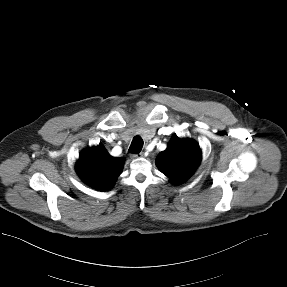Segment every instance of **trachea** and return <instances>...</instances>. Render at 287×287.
<instances>
[{
	"label": "trachea",
	"instance_id": "trachea-1",
	"mask_svg": "<svg viewBox=\"0 0 287 287\" xmlns=\"http://www.w3.org/2000/svg\"><path fill=\"white\" fill-rule=\"evenodd\" d=\"M142 147H143L142 138L140 136H135L132 140V143H131L128 151L130 153L137 154V153H140V151L142 150Z\"/></svg>",
	"mask_w": 287,
	"mask_h": 287
}]
</instances>
